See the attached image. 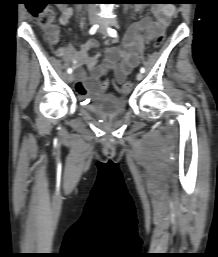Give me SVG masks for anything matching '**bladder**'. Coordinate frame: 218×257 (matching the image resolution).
<instances>
[{
    "instance_id": "obj_1",
    "label": "bladder",
    "mask_w": 218,
    "mask_h": 257,
    "mask_svg": "<svg viewBox=\"0 0 218 257\" xmlns=\"http://www.w3.org/2000/svg\"><path fill=\"white\" fill-rule=\"evenodd\" d=\"M126 100L114 96H97L92 99L88 108L104 116H113L124 112Z\"/></svg>"
}]
</instances>
